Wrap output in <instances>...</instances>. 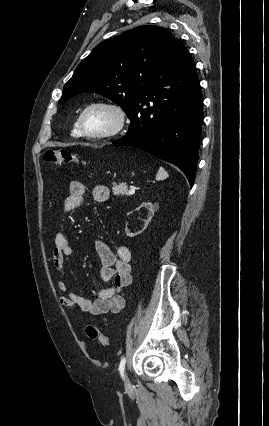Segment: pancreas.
I'll return each mask as SVG.
<instances>
[{
	"label": "pancreas",
	"instance_id": "obj_1",
	"mask_svg": "<svg viewBox=\"0 0 269 426\" xmlns=\"http://www.w3.org/2000/svg\"><path fill=\"white\" fill-rule=\"evenodd\" d=\"M112 192L115 196L119 195H128V187L126 183H120V184H113Z\"/></svg>",
	"mask_w": 269,
	"mask_h": 426
}]
</instances>
